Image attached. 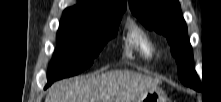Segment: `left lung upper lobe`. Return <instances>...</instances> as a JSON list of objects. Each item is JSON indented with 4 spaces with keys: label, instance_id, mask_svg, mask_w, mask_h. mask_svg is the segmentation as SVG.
Instances as JSON below:
<instances>
[{
    "label": "left lung upper lobe",
    "instance_id": "1",
    "mask_svg": "<svg viewBox=\"0 0 221 102\" xmlns=\"http://www.w3.org/2000/svg\"><path fill=\"white\" fill-rule=\"evenodd\" d=\"M129 6L145 27L166 36L180 81L200 91L201 82L193 67L192 48L178 0H129Z\"/></svg>",
    "mask_w": 221,
    "mask_h": 102
}]
</instances>
